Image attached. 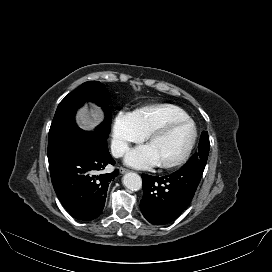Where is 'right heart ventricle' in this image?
Returning <instances> with one entry per match:
<instances>
[{
    "instance_id": "obj_1",
    "label": "right heart ventricle",
    "mask_w": 272,
    "mask_h": 272,
    "mask_svg": "<svg viewBox=\"0 0 272 272\" xmlns=\"http://www.w3.org/2000/svg\"><path fill=\"white\" fill-rule=\"evenodd\" d=\"M188 117L182 108L166 103L148 105L133 113L135 125L143 136L167 121Z\"/></svg>"
}]
</instances>
